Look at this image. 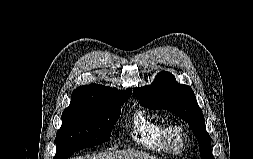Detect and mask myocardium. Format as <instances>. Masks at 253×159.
I'll use <instances>...</instances> for the list:
<instances>
[{
	"label": "myocardium",
	"mask_w": 253,
	"mask_h": 159,
	"mask_svg": "<svg viewBox=\"0 0 253 159\" xmlns=\"http://www.w3.org/2000/svg\"><path fill=\"white\" fill-rule=\"evenodd\" d=\"M175 141L178 142V145L175 144ZM164 144L169 151L175 154L181 153L186 144V136L183 128L177 124L167 125L165 128Z\"/></svg>",
	"instance_id": "obj_1"
}]
</instances>
